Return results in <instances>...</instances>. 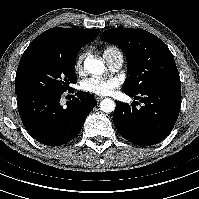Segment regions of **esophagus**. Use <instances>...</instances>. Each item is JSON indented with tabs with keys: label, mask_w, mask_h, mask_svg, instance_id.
I'll use <instances>...</instances> for the list:
<instances>
[{
	"label": "esophagus",
	"mask_w": 199,
	"mask_h": 199,
	"mask_svg": "<svg viewBox=\"0 0 199 199\" xmlns=\"http://www.w3.org/2000/svg\"><path fill=\"white\" fill-rule=\"evenodd\" d=\"M95 99H96L97 102H100V101L103 99V97H102V96H97V95H96V96H95Z\"/></svg>",
	"instance_id": "obj_1"
}]
</instances>
